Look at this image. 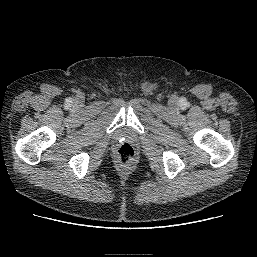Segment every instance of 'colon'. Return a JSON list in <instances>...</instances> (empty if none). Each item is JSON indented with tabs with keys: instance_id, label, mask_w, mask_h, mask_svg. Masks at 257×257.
<instances>
[{
	"instance_id": "obj_1",
	"label": "colon",
	"mask_w": 257,
	"mask_h": 257,
	"mask_svg": "<svg viewBox=\"0 0 257 257\" xmlns=\"http://www.w3.org/2000/svg\"><path fill=\"white\" fill-rule=\"evenodd\" d=\"M117 157L122 167H128L134 160L135 150L130 144L124 143L118 148Z\"/></svg>"
}]
</instances>
